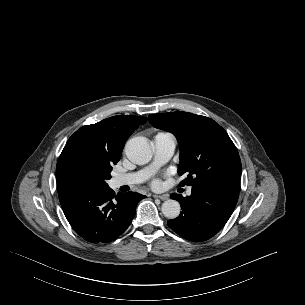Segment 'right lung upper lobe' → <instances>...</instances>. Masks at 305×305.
Listing matches in <instances>:
<instances>
[{"label": "right lung upper lobe", "mask_w": 305, "mask_h": 305, "mask_svg": "<svg viewBox=\"0 0 305 305\" xmlns=\"http://www.w3.org/2000/svg\"><path fill=\"white\" fill-rule=\"evenodd\" d=\"M146 121V117L113 116L96 124L83 126L69 138L58 161H60L66 151L76 143H87L93 145L102 150L109 157L120 159L123 147L128 137L138 128L139 125L146 123ZM56 177L58 193L64 190H70V188L60 183L57 171Z\"/></svg>", "instance_id": "cb5924a9"}]
</instances>
